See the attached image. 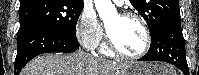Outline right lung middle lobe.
Masks as SVG:
<instances>
[{
	"label": "right lung middle lobe",
	"instance_id": "right-lung-middle-lobe-1",
	"mask_svg": "<svg viewBox=\"0 0 199 75\" xmlns=\"http://www.w3.org/2000/svg\"><path fill=\"white\" fill-rule=\"evenodd\" d=\"M83 6L82 2L68 0H32L20 3V28L39 25L76 38L75 28Z\"/></svg>",
	"mask_w": 199,
	"mask_h": 75
}]
</instances>
